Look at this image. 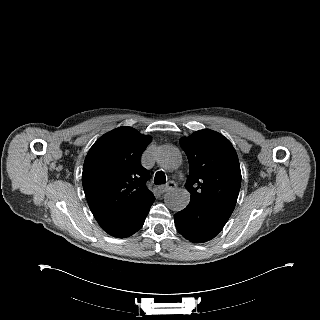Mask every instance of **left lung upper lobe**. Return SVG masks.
I'll return each instance as SVG.
<instances>
[{"label": "left lung upper lobe", "mask_w": 320, "mask_h": 320, "mask_svg": "<svg viewBox=\"0 0 320 320\" xmlns=\"http://www.w3.org/2000/svg\"><path fill=\"white\" fill-rule=\"evenodd\" d=\"M189 161L191 199L232 214L241 186L237 154L221 134L204 129L180 139Z\"/></svg>", "instance_id": "obj_1"}]
</instances>
